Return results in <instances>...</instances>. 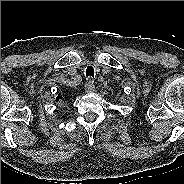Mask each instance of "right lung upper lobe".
<instances>
[{"label":"right lung upper lobe","mask_w":184,"mask_h":184,"mask_svg":"<svg viewBox=\"0 0 184 184\" xmlns=\"http://www.w3.org/2000/svg\"><path fill=\"white\" fill-rule=\"evenodd\" d=\"M59 98H61V96H60V95H58V97H57L56 99L58 100Z\"/></svg>","instance_id":"obj_1"}]
</instances>
